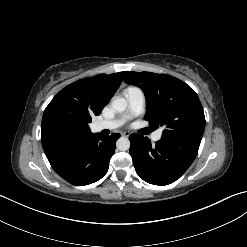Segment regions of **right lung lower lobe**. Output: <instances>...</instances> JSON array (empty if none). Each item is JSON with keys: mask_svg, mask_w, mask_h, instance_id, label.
Listing matches in <instances>:
<instances>
[{"mask_svg": "<svg viewBox=\"0 0 247 247\" xmlns=\"http://www.w3.org/2000/svg\"><path fill=\"white\" fill-rule=\"evenodd\" d=\"M120 135L93 134L80 145L46 155L54 171L73 185L100 180L108 171Z\"/></svg>", "mask_w": 247, "mask_h": 247, "instance_id": "right-lung-lower-lobe-1", "label": "right lung lower lobe"}]
</instances>
